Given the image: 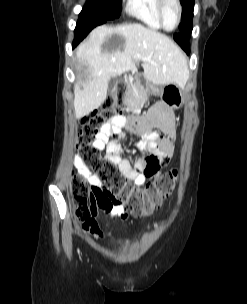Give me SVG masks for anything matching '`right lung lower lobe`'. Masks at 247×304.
<instances>
[{
  "label": "right lung lower lobe",
  "instance_id": "obj_1",
  "mask_svg": "<svg viewBox=\"0 0 247 304\" xmlns=\"http://www.w3.org/2000/svg\"><path fill=\"white\" fill-rule=\"evenodd\" d=\"M106 21L107 20L95 21L93 19L79 18L76 28H75V38H74V42H73V47H75L81 40H83L86 37V36H84V34L86 32H81V31H83L84 29H88L91 31L94 27L101 25V24L105 23Z\"/></svg>",
  "mask_w": 247,
  "mask_h": 304
}]
</instances>
